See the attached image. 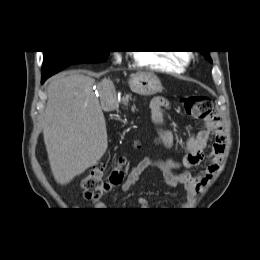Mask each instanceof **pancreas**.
I'll return each instance as SVG.
<instances>
[{
  "label": "pancreas",
  "mask_w": 260,
  "mask_h": 260,
  "mask_svg": "<svg viewBox=\"0 0 260 260\" xmlns=\"http://www.w3.org/2000/svg\"><path fill=\"white\" fill-rule=\"evenodd\" d=\"M129 99H131V96H130V95H127L126 97H124V98L122 99V102H123L125 105H127L128 102H129Z\"/></svg>",
  "instance_id": "obj_1"
}]
</instances>
